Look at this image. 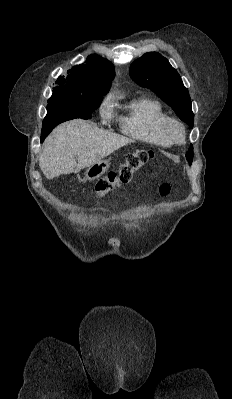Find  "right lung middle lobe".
Masks as SVG:
<instances>
[{
    "label": "right lung middle lobe",
    "mask_w": 232,
    "mask_h": 399,
    "mask_svg": "<svg viewBox=\"0 0 232 399\" xmlns=\"http://www.w3.org/2000/svg\"><path fill=\"white\" fill-rule=\"evenodd\" d=\"M105 94L65 93L54 88L48 100V109L59 110L73 115L91 114L100 106Z\"/></svg>",
    "instance_id": "obj_1"
}]
</instances>
